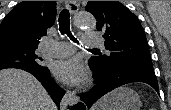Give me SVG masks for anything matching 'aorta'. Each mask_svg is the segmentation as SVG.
Segmentation results:
<instances>
[{"label":"aorta","instance_id":"obj_1","mask_svg":"<svg viewBox=\"0 0 171 110\" xmlns=\"http://www.w3.org/2000/svg\"><path fill=\"white\" fill-rule=\"evenodd\" d=\"M75 26L81 30H92L96 27V19L90 13H78L75 17Z\"/></svg>","mask_w":171,"mask_h":110}]
</instances>
